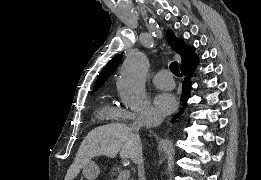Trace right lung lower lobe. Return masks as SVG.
I'll return each instance as SVG.
<instances>
[{"label":"right lung lower lobe","instance_id":"98d812e1","mask_svg":"<svg viewBox=\"0 0 261 180\" xmlns=\"http://www.w3.org/2000/svg\"><path fill=\"white\" fill-rule=\"evenodd\" d=\"M197 63L188 65L182 68V74L184 75V81L182 84V107L180 112L173 118L174 121L187 107V99L189 98L190 91H191V83L190 78L192 76V71L195 69Z\"/></svg>","mask_w":261,"mask_h":180}]
</instances>
